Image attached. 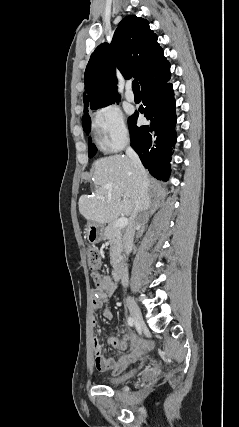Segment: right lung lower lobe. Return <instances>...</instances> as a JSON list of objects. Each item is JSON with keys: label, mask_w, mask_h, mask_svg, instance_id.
Wrapping results in <instances>:
<instances>
[{"label": "right lung lower lobe", "mask_w": 239, "mask_h": 427, "mask_svg": "<svg viewBox=\"0 0 239 427\" xmlns=\"http://www.w3.org/2000/svg\"><path fill=\"white\" fill-rule=\"evenodd\" d=\"M170 71L141 87L140 108L150 124L138 127L136 112L129 118L131 146L140 156L142 164L152 176L167 181L170 175L172 147L176 143L175 99Z\"/></svg>", "instance_id": "98d812e1"}]
</instances>
